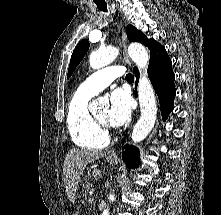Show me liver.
I'll return each mask as SVG.
<instances>
[{"label": "liver", "instance_id": "liver-1", "mask_svg": "<svg viewBox=\"0 0 221 215\" xmlns=\"http://www.w3.org/2000/svg\"><path fill=\"white\" fill-rule=\"evenodd\" d=\"M105 155L102 151L71 149L67 153L63 165V179L66 194L69 200L74 203L77 186L85 167L102 158Z\"/></svg>", "mask_w": 221, "mask_h": 215}]
</instances>
